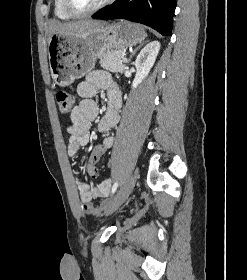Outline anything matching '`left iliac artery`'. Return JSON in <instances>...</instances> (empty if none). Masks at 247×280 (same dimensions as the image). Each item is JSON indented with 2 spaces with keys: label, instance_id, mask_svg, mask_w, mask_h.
I'll return each instance as SVG.
<instances>
[{
  "label": "left iliac artery",
  "instance_id": "1",
  "mask_svg": "<svg viewBox=\"0 0 247 280\" xmlns=\"http://www.w3.org/2000/svg\"><path fill=\"white\" fill-rule=\"evenodd\" d=\"M117 187H118V181H116V182L114 183L113 187H112V194L115 193Z\"/></svg>",
  "mask_w": 247,
  "mask_h": 280
}]
</instances>
